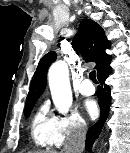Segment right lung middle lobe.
<instances>
[{
  "label": "right lung middle lobe",
  "instance_id": "dd1d6c3e",
  "mask_svg": "<svg viewBox=\"0 0 130 153\" xmlns=\"http://www.w3.org/2000/svg\"><path fill=\"white\" fill-rule=\"evenodd\" d=\"M35 102L30 103L28 105L25 106V116L28 117L30 115L31 110L34 107Z\"/></svg>",
  "mask_w": 130,
  "mask_h": 153
}]
</instances>
